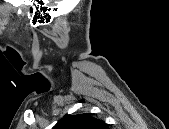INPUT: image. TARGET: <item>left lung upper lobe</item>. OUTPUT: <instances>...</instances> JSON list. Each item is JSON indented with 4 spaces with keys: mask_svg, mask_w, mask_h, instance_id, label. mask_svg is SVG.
Segmentation results:
<instances>
[{
    "mask_svg": "<svg viewBox=\"0 0 169 129\" xmlns=\"http://www.w3.org/2000/svg\"><path fill=\"white\" fill-rule=\"evenodd\" d=\"M56 129H106L105 123L90 114L69 116L59 122Z\"/></svg>",
    "mask_w": 169,
    "mask_h": 129,
    "instance_id": "left-lung-upper-lobe-1",
    "label": "left lung upper lobe"
}]
</instances>
